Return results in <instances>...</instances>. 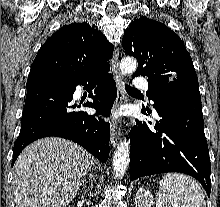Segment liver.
Listing matches in <instances>:
<instances>
[{"label":"liver","instance_id":"obj_1","mask_svg":"<svg viewBox=\"0 0 220 207\" xmlns=\"http://www.w3.org/2000/svg\"><path fill=\"white\" fill-rule=\"evenodd\" d=\"M93 158L81 146L62 138L31 143L13 167L16 207H66L75 198Z\"/></svg>","mask_w":220,"mask_h":207}]
</instances>
